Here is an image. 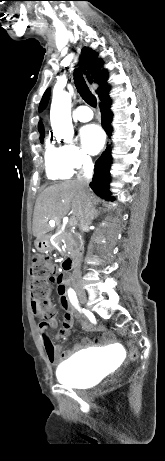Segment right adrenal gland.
<instances>
[{"mask_svg":"<svg viewBox=\"0 0 165 461\" xmlns=\"http://www.w3.org/2000/svg\"><path fill=\"white\" fill-rule=\"evenodd\" d=\"M100 212L95 210V213H94V218H97L99 216Z\"/></svg>","mask_w":165,"mask_h":461,"instance_id":"1","label":"right adrenal gland"}]
</instances>
